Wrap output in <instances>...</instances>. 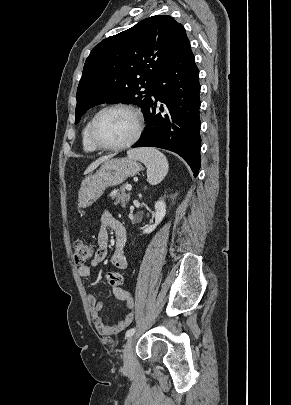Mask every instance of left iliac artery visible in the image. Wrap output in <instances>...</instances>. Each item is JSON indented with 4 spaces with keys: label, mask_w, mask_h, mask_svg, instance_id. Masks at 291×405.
<instances>
[{
    "label": "left iliac artery",
    "mask_w": 291,
    "mask_h": 405,
    "mask_svg": "<svg viewBox=\"0 0 291 405\" xmlns=\"http://www.w3.org/2000/svg\"><path fill=\"white\" fill-rule=\"evenodd\" d=\"M135 331H136L135 328H131V329L127 330L125 337L126 338L131 337L135 333Z\"/></svg>",
    "instance_id": "1"
}]
</instances>
